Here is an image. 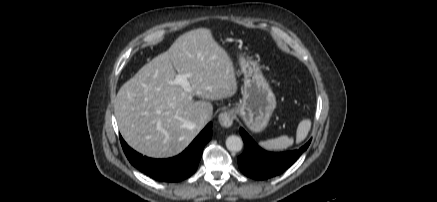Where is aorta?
I'll return each mask as SVG.
<instances>
[{
    "instance_id": "762f6f07",
    "label": "aorta",
    "mask_w": 437,
    "mask_h": 202,
    "mask_svg": "<svg viewBox=\"0 0 437 202\" xmlns=\"http://www.w3.org/2000/svg\"><path fill=\"white\" fill-rule=\"evenodd\" d=\"M226 147L231 152H239L243 147V141L236 135H231L226 139Z\"/></svg>"
}]
</instances>
